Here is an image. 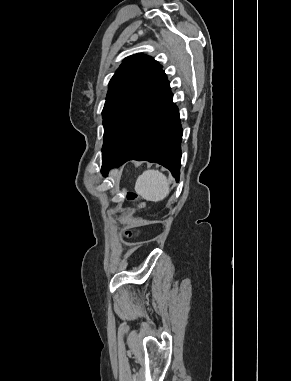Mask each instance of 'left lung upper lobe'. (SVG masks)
<instances>
[{
	"mask_svg": "<svg viewBox=\"0 0 291 381\" xmlns=\"http://www.w3.org/2000/svg\"><path fill=\"white\" fill-rule=\"evenodd\" d=\"M168 83L162 66L152 57L135 54L123 60L109 82L102 111V161L123 138L146 104Z\"/></svg>",
	"mask_w": 291,
	"mask_h": 381,
	"instance_id": "1",
	"label": "left lung upper lobe"
}]
</instances>
